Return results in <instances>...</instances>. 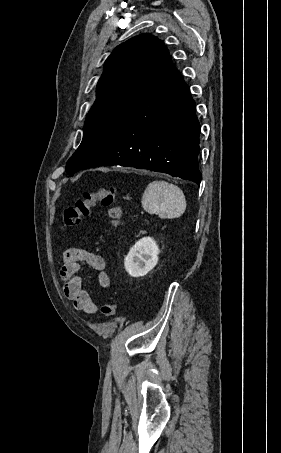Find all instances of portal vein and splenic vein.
<instances>
[{
    "label": "portal vein and splenic vein",
    "instance_id": "18ae733b",
    "mask_svg": "<svg viewBox=\"0 0 281 453\" xmlns=\"http://www.w3.org/2000/svg\"><path fill=\"white\" fill-rule=\"evenodd\" d=\"M139 214H140V215H143V211L141 210Z\"/></svg>",
    "mask_w": 281,
    "mask_h": 453
}]
</instances>
